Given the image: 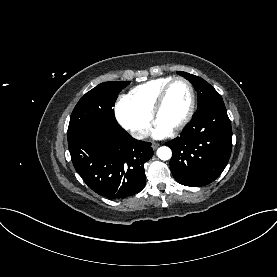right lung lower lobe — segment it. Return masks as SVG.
I'll list each match as a JSON object with an SVG mask.
<instances>
[{
    "label": "right lung lower lobe",
    "mask_w": 277,
    "mask_h": 277,
    "mask_svg": "<svg viewBox=\"0 0 277 277\" xmlns=\"http://www.w3.org/2000/svg\"><path fill=\"white\" fill-rule=\"evenodd\" d=\"M68 146L75 170L99 195L122 199L144 188L151 143L132 138L121 127L96 126Z\"/></svg>",
    "instance_id": "1"
}]
</instances>
